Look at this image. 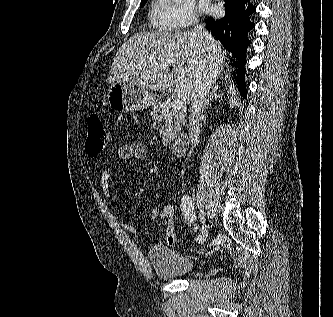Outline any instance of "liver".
I'll return each mask as SVG.
<instances>
[{
  "instance_id": "obj_1",
  "label": "liver",
  "mask_w": 333,
  "mask_h": 317,
  "mask_svg": "<svg viewBox=\"0 0 333 317\" xmlns=\"http://www.w3.org/2000/svg\"><path fill=\"white\" fill-rule=\"evenodd\" d=\"M225 58L222 45L210 34L206 40L193 31L141 32L117 51L109 81L129 79L146 89H166L189 105L196 81L207 75L211 65L215 83Z\"/></svg>"
}]
</instances>
